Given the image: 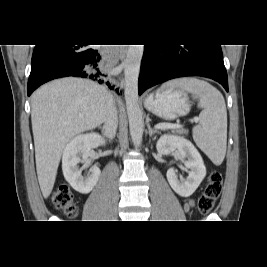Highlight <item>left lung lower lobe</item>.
Here are the masks:
<instances>
[{"label":"left lung lower lobe","mask_w":267,"mask_h":267,"mask_svg":"<svg viewBox=\"0 0 267 267\" xmlns=\"http://www.w3.org/2000/svg\"><path fill=\"white\" fill-rule=\"evenodd\" d=\"M203 76L219 82L228 91L221 46L217 44L145 45L139 95L170 79Z\"/></svg>","instance_id":"obj_1"}]
</instances>
